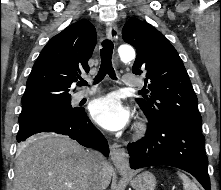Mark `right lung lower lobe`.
I'll list each match as a JSON object with an SVG mask.
<instances>
[{"instance_id": "right-lung-lower-lobe-1", "label": "right lung lower lobe", "mask_w": 221, "mask_h": 190, "mask_svg": "<svg viewBox=\"0 0 221 190\" xmlns=\"http://www.w3.org/2000/svg\"><path fill=\"white\" fill-rule=\"evenodd\" d=\"M41 132L67 135L87 148H95L100 150L105 156L109 155L106 139L88 119L84 109H80L71 119L49 120L20 131L17 134V141H25L30 136Z\"/></svg>"}]
</instances>
